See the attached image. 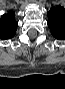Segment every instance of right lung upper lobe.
<instances>
[{
    "mask_svg": "<svg viewBox=\"0 0 65 89\" xmlns=\"http://www.w3.org/2000/svg\"><path fill=\"white\" fill-rule=\"evenodd\" d=\"M18 23L15 20V12H8L0 18V39L14 37Z\"/></svg>",
    "mask_w": 65,
    "mask_h": 89,
    "instance_id": "right-lung-upper-lobe-1",
    "label": "right lung upper lobe"
}]
</instances>
